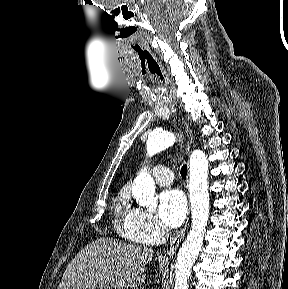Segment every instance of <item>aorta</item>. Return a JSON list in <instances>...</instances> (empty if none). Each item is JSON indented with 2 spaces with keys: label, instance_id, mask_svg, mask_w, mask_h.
<instances>
[{
  "label": "aorta",
  "instance_id": "1",
  "mask_svg": "<svg viewBox=\"0 0 288 289\" xmlns=\"http://www.w3.org/2000/svg\"><path fill=\"white\" fill-rule=\"evenodd\" d=\"M175 139V135L169 132H152L147 140V154L151 157L172 146ZM189 167V197L192 224L177 254L173 289H188V279L192 266L202 248L209 219L208 161L205 153L201 150H194L190 157ZM132 194L140 206L149 209L157 207L155 183L146 168L135 178Z\"/></svg>",
  "mask_w": 288,
  "mask_h": 289
}]
</instances>
